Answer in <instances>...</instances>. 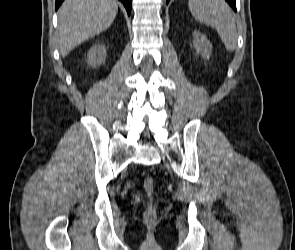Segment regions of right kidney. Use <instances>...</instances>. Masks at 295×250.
<instances>
[{
	"label": "right kidney",
	"instance_id": "right-kidney-1",
	"mask_svg": "<svg viewBox=\"0 0 295 250\" xmlns=\"http://www.w3.org/2000/svg\"><path fill=\"white\" fill-rule=\"evenodd\" d=\"M106 60V48L102 44H96L88 52L87 63L93 68L102 65Z\"/></svg>",
	"mask_w": 295,
	"mask_h": 250
}]
</instances>
